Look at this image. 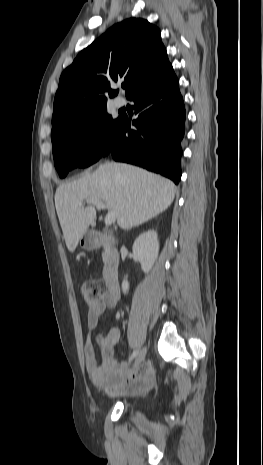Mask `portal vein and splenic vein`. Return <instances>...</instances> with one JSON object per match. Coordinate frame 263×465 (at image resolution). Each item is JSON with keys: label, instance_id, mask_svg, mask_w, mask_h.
<instances>
[{"label": "portal vein and splenic vein", "instance_id": "portal-vein-and-splenic-vein-1", "mask_svg": "<svg viewBox=\"0 0 263 465\" xmlns=\"http://www.w3.org/2000/svg\"><path fill=\"white\" fill-rule=\"evenodd\" d=\"M87 204H91L96 206L100 210H104L106 205L99 199L91 198L86 200ZM116 220L115 213L113 211H109L105 217V225L109 226L114 223Z\"/></svg>", "mask_w": 263, "mask_h": 465}]
</instances>
